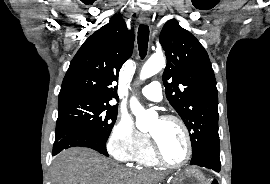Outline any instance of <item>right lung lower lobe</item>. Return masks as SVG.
<instances>
[{
  "instance_id": "98d812e1",
  "label": "right lung lower lobe",
  "mask_w": 270,
  "mask_h": 184,
  "mask_svg": "<svg viewBox=\"0 0 270 184\" xmlns=\"http://www.w3.org/2000/svg\"><path fill=\"white\" fill-rule=\"evenodd\" d=\"M55 136L53 156L71 147H87L108 156L106 142L88 132L80 130H60L56 131Z\"/></svg>"
}]
</instances>
